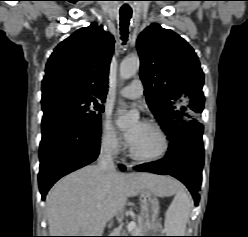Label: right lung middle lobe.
Returning a JSON list of instances; mask_svg holds the SVG:
<instances>
[{
  "label": "right lung middle lobe",
  "instance_id": "dd1d6c3e",
  "mask_svg": "<svg viewBox=\"0 0 248 237\" xmlns=\"http://www.w3.org/2000/svg\"><path fill=\"white\" fill-rule=\"evenodd\" d=\"M43 120H63L82 125L100 124L104 111L96 99L61 96L42 102Z\"/></svg>",
  "mask_w": 248,
  "mask_h": 237
}]
</instances>
